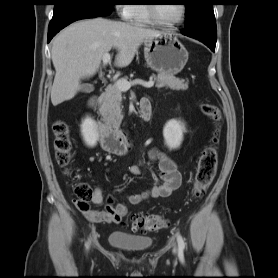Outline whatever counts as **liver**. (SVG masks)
<instances>
[{
	"instance_id": "1",
	"label": "liver",
	"mask_w": 278,
	"mask_h": 278,
	"mask_svg": "<svg viewBox=\"0 0 278 278\" xmlns=\"http://www.w3.org/2000/svg\"><path fill=\"white\" fill-rule=\"evenodd\" d=\"M161 31L104 18L76 22L61 31L53 40L51 57L56 71L51 89L54 106L72 99L81 89L82 78L93 76L102 57L117 49L115 65L128 66L139 46Z\"/></svg>"
}]
</instances>
